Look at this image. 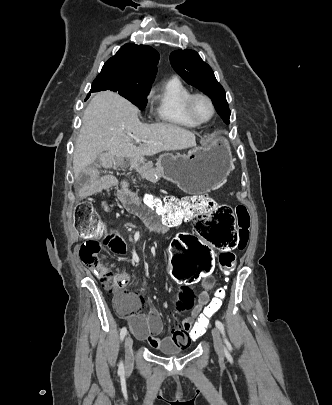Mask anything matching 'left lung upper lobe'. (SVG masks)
Returning <instances> with one entry per match:
<instances>
[{
  "label": "left lung upper lobe",
  "mask_w": 332,
  "mask_h": 405,
  "mask_svg": "<svg viewBox=\"0 0 332 405\" xmlns=\"http://www.w3.org/2000/svg\"><path fill=\"white\" fill-rule=\"evenodd\" d=\"M173 69L188 84L209 96L217 113L229 124L230 110L223 87L216 80L211 67L193 50H176L170 54Z\"/></svg>",
  "instance_id": "1"
}]
</instances>
